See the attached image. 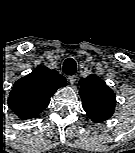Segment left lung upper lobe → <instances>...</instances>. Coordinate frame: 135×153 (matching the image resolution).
Segmentation results:
<instances>
[{
    "mask_svg": "<svg viewBox=\"0 0 135 153\" xmlns=\"http://www.w3.org/2000/svg\"><path fill=\"white\" fill-rule=\"evenodd\" d=\"M79 83V94L88 117L95 123L109 119L116 104L113 90L96 75L81 79Z\"/></svg>",
    "mask_w": 135,
    "mask_h": 153,
    "instance_id": "1",
    "label": "left lung upper lobe"
}]
</instances>
